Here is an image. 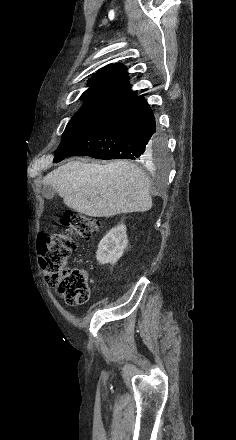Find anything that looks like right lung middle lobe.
<instances>
[{
	"instance_id": "obj_1",
	"label": "right lung middle lobe",
	"mask_w": 236,
	"mask_h": 440,
	"mask_svg": "<svg viewBox=\"0 0 236 440\" xmlns=\"http://www.w3.org/2000/svg\"><path fill=\"white\" fill-rule=\"evenodd\" d=\"M113 108L114 107L106 106V105L85 103L67 124L65 131L62 135V140L59 147L67 143L70 139L77 136L81 132L88 129L101 117H103L105 114L110 112ZM165 159H166L165 143L162 140L157 139L155 142V148L147 161L161 163Z\"/></svg>"
}]
</instances>
